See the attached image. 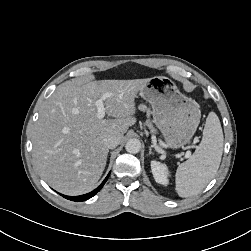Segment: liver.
Returning a JSON list of instances; mask_svg holds the SVG:
<instances>
[{"instance_id": "6515ba94", "label": "liver", "mask_w": 251, "mask_h": 251, "mask_svg": "<svg viewBox=\"0 0 251 251\" xmlns=\"http://www.w3.org/2000/svg\"><path fill=\"white\" fill-rule=\"evenodd\" d=\"M150 81L71 80L59 85L44 102L32 132L34 164L43 179L67 195L91 191L106 166L104 139L123 140L135 123V98ZM105 111L114 119H99L94 102L104 94Z\"/></svg>"}]
</instances>
